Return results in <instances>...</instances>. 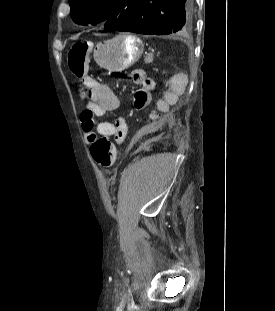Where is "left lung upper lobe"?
Returning <instances> with one entry per match:
<instances>
[{
	"label": "left lung upper lobe",
	"mask_w": 275,
	"mask_h": 311,
	"mask_svg": "<svg viewBox=\"0 0 275 311\" xmlns=\"http://www.w3.org/2000/svg\"><path fill=\"white\" fill-rule=\"evenodd\" d=\"M141 0H69L70 14L77 24L104 22L107 31H116L134 16Z\"/></svg>",
	"instance_id": "1"
}]
</instances>
